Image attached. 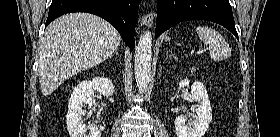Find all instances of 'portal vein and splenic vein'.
<instances>
[{"label":"portal vein and splenic vein","instance_id":"obj_1","mask_svg":"<svg viewBox=\"0 0 280 137\" xmlns=\"http://www.w3.org/2000/svg\"><path fill=\"white\" fill-rule=\"evenodd\" d=\"M193 53L200 54V53H202V52H201V51L195 52V51L193 50V51H191V54H193Z\"/></svg>","mask_w":280,"mask_h":137}]
</instances>
